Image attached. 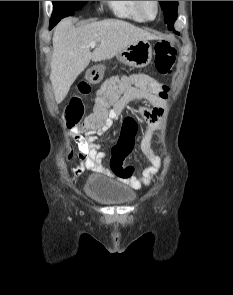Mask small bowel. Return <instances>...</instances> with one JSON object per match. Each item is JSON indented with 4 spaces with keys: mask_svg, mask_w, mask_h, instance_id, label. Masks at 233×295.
Returning <instances> with one entry per match:
<instances>
[{
    "mask_svg": "<svg viewBox=\"0 0 233 295\" xmlns=\"http://www.w3.org/2000/svg\"><path fill=\"white\" fill-rule=\"evenodd\" d=\"M142 99L149 103L150 107H139L133 111L135 115L140 117L146 123L158 122L163 114V106L166 98H162L152 93H138L135 95H124L114 102L113 107L109 110L107 117L103 124L90 131L84 128L73 127L71 129L74 142L78 146V158L81 164H76L73 169V175L80 176L85 170L95 171L99 173H108V169L103 165V159L106 153L100 151V145L96 143V134L105 133L112 126L113 122L118 120L123 112L127 109L128 104L135 100ZM81 131L85 132L86 136L81 135ZM150 155V154H149ZM72 156V151L69 147L68 157ZM152 166L148 168L141 178L131 177L128 182L136 189L141 188L143 185H148L161 167V161L150 155Z\"/></svg>",
    "mask_w": 233,
    "mask_h": 295,
    "instance_id": "1",
    "label": "small bowel"
}]
</instances>
